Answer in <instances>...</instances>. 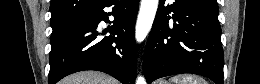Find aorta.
I'll return each mask as SVG.
<instances>
[{
  "label": "aorta",
  "mask_w": 260,
  "mask_h": 84,
  "mask_svg": "<svg viewBox=\"0 0 260 84\" xmlns=\"http://www.w3.org/2000/svg\"><path fill=\"white\" fill-rule=\"evenodd\" d=\"M157 8L158 0L141 1L135 28V38L137 42H142L148 35L155 18ZM136 84H146V81L143 77H138Z\"/></svg>",
  "instance_id": "obj_1"
}]
</instances>
